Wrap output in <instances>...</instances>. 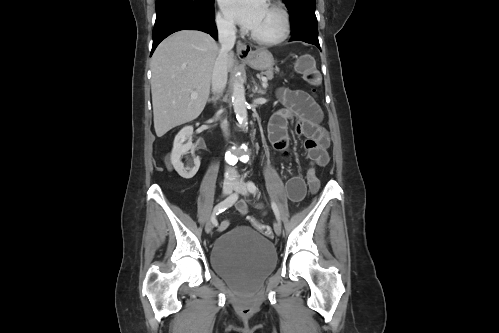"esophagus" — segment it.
Returning <instances> with one entry per match:
<instances>
[{
	"instance_id": "obj_1",
	"label": "esophagus",
	"mask_w": 499,
	"mask_h": 333,
	"mask_svg": "<svg viewBox=\"0 0 499 333\" xmlns=\"http://www.w3.org/2000/svg\"><path fill=\"white\" fill-rule=\"evenodd\" d=\"M236 49L239 57L246 58L251 54V47L242 43L241 41H238Z\"/></svg>"
}]
</instances>
